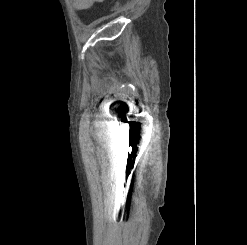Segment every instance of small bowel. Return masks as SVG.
I'll list each match as a JSON object with an SVG mask.
<instances>
[{"instance_id":"obj_1","label":"small bowel","mask_w":247,"mask_h":245,"mask_svg":"<svg viewBox=\"0 0 247 245\" xmlns=\"http://www.w3.org/2000/svg\"><path fill=\"white\" fill-rule=\"evenodd\" d=\"M103 0H73V6L76 10H88L92 8L96 3Z\"/></svg>"}]
</instances>
